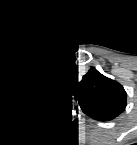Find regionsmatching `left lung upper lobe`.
Instances as JSON below:
<instances>
[{
  "mask_svg": "<svg viewBox=\"0 0 137 145\" xmlns=\"http://www.w3.org/2000/svg\"><path fill=\"white\" fill-rule=\"evenodd\" d=\"M73 94L82 110L97 120L113 119L126 107L127 95L122 85L94 68L83 76Z\"/></svg>",
  "mask_w": 137,
  "mask_h": 145,
  "instance_id": "5c2ea615",
  "label": "left lung upper lobe"
}]
</instances>
